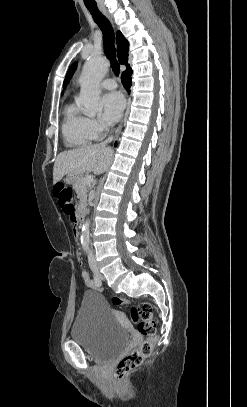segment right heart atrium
Instances as JSON below:
<instances>
[{
    "instance_id": "right-heart-atrium-1",
    "label": "right heart atrium",
    "mask_w": 247,
    "mask_h": 407,
    "mask_svg": "<svg viewBox=\"0 0 247 407\" xmlns=\"http://www.w3.org/2000/svg\"><path fill=\"white\" fill-rule=\"evenodd\" d=\"M89 125L95 139L99 138L106 130V124L100 119H89Z\"/></svg>"
}]
</instances>
